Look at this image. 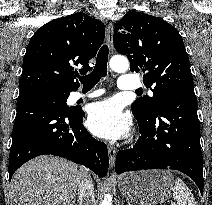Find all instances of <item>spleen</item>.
Wrapping results in <instances>:
<instances>
[{"mask_svg": "<svg viewBox=\"0 0 212 205\" xmlns=\"http://www.w3.org/2000/svg\"><path fill=\"white\" fill-rule=\"evenodd\" d=\"M172 190L173 197L176 201L174 205H197L194 196L181 178H176Z\"/></svg>", "mask_w": 212, "mask_h": 205, "instance_id": "1", "label": "spleen"}]
</instances>
